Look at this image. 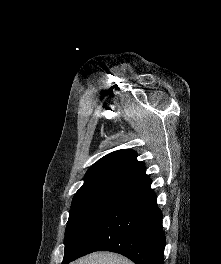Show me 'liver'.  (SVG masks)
Wrapping results in <instances>:
<instances>
[{
    "instance_id": "6515ba94",
    "label": "liver",
    "mask_w": 221,
    "mask_h": 264,
    "mask_svg": "<svg viewBox=\"0 0 221 264\" xmlns=\"http://www.w3.org/2000/svg\"><path fill=\"white\" fill-rule=\"evenodd\" d=\"M71 264H134V263L129 261L124 256L118 254L98 252L80 258Z\"/></svg>"
}]
</instances>
